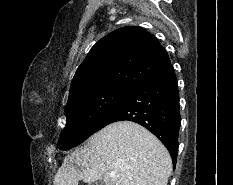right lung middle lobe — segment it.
Segmentation results:
<instances>
[{
	"mask_svg": "<svg viewBox=\"0 0 233 185\" xmlns=\"http://www.w3.org/2000/svg\"><path fill=\"white\" fill-rule=\"evenodd\" d=\"M130 89L108 87L81 94L66 106V126L58 147L71 149L97 131L103 119L127 96Z\"/></svg>",
	"mask_w": 233,
	"mask_h": 185,
	"instance_id": "1",
	"label": "right lung middle lobe"
}]
</instances>
